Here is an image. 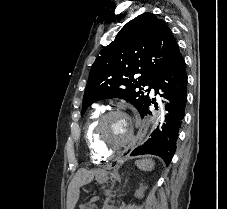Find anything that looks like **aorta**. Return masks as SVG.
Returning a JSON list of instances; mask_svg holds the SVG:
<instances>
[{
	"label": "aorta",
	"instance_id": "762f6f07",
	"mask_svg": "<svg viewBox=\"0 0 227 209\" xmlns=\"http://www.w3.org/2000/svg\"><path fill=\"white\" fill-rule=\"evenodd\" d=\"M162 113L159 114V117L161 118ZM158 120H154V123L157 122ZM147 132V131H146Z\"/></svg>",
	"mask_w": 227,
	"mask_h": 209
}]
</instances>
